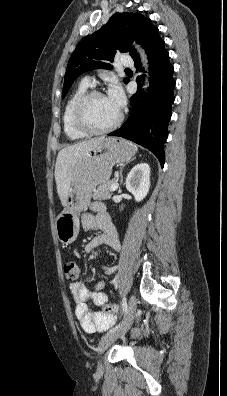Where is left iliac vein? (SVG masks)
Returning a JSON list of instances; mask_svg holds the SVG:
<instances>
[{
  "label": "left iliac vein",
  "instance_id": "4c4485c4",
  "mask_svg": "<svg viewBox=\"0 0 227 396\" xmlns=\"http://www.w3.org/2000/svg\"><path fill=\"white\" fill-rule=\"evenodd\" d=\"M136 306H137L136 297L135 295H131L128 303L127 313L121 326H119L115 331L107 334L99 342L97 351L100 357L116 339H118L120 336L124 335L128 331L135 318ZM102 368H103L102 362L101 359H99L98 370L102 371Z\"/></svg>",
  "mask_w": 227,
  "mask_h": 396
}]
</instances>
